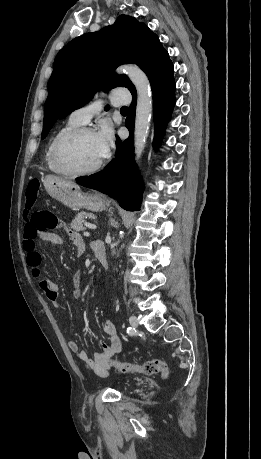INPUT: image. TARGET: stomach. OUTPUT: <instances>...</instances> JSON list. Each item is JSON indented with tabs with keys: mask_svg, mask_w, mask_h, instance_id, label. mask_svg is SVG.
Segmentation results:
<instances>
[{
	"mask_svg": "<svg viewBox=\"0 0 261 459\" xmlns=\"http://www.w3.org/2000/svg\"><path fill=\"white\" fill-rule=\"evenodd\" d=\"M48 194L71 208L72 210H80L82 208L92 211H102L106 209L108 203L106 199L97 193H84L80 187L71 181L47 175L43 179Z\"/></svg>",
	"mask_w": 261,
	"mask_h": 459,
	"instance_id": "obj_1",
	"label": "stomach"
}]
</instances>
